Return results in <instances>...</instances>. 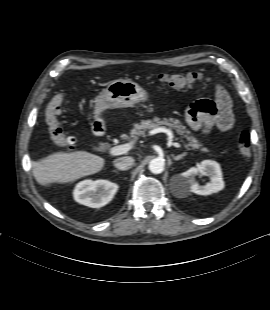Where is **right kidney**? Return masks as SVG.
Instances as JSON below:
<instances>
[{
  "instance_id": "right-kidney-1",
  "label": "right kidney",
  "mask_w": 270,
  "mask_h": 310,
  "mask_svg": "<svg viewBox=\"0 0 270 310\" xmlns=\"http://www.w3.org/2000/svg\"><path fill=\"white\" fill-rule=\"evenodd\" d=\"M118 190V185L108 180H84L74 191V200L91 208H100L109 203Z\"/></svg>"
}]
</instances>
